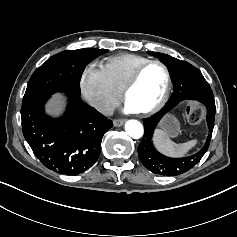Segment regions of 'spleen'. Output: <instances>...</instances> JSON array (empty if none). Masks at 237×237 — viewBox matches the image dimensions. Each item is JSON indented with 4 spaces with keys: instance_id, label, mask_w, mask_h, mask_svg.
<instances>
[{
    "instance_id": "obj_1",
    "label": "spleen",
    "mask_w": 237,
    "mask_h": 237,
    "mask_svg": "<svg viewBox=\"0 0 237 237\" xmlns=\"http://www.w3.org/2000/svg\"><path fill=\"white\" fill-rule=\"evenodd\" d=\"M155 141L161 151L172 156H180L185 154L187 150L195 144V141L177 144L170 139L166 132L160 129L156 132Z\"/></svg>"
}]
</instances>
